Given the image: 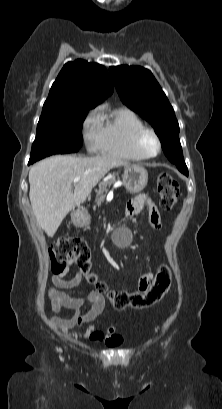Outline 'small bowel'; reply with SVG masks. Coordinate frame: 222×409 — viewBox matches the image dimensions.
Returning <instances> with one entry per match:
<instances>
[{
	"instance_id": "1",
	"label": "small bowel",
	"mask_w": 222,
	"mask_h": 409,
	"mask_svg": "<svg viewBox=\"0 0 222 409\" xmlns=\"http://www.w3.org/2000/svg\"><path fill=\"white\" fill-rule=\"evenodd\" d=\"M145 208L147 209L151 226L155 229H161L162 225L159 210L146 193H142L131 200L126 206L125 214L127 216L138 214ZM68 270L69 267L52 276L51 285L48 288L49 297L65 308L79 310L85 305H90L91 307L86 313H77L70 319H61L54 316L51 318L53 325L62 333L71 337L84 338L96 342L105 341L109 345L119 344L120 340L110 341V338L114 336L115 333L114 326H109L106 332L98 330L99 324L96 321L105 309V299L103 295L97 292H90L85 296L75 297L64 291L77 287L83 279L81 272L70 279H65ZM152 280L153 277L151 273L143 275L139 280V287L145 284L149 285ZM76 326H84L85 331L69 332L71 328Z\"/></svg>"
}]
</instances>
